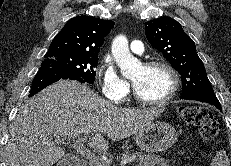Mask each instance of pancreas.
I'll list each match as a JSON object with an SVG mask.
<instances>
[{
	"instance_id": "cf45deb5",
	"label": "pancreas",
	"mask_w": 231,
	"mask_h": 166,
	"mask_svg": "<svg viewBox=\"0 0 231 166\" xmlns=\"http://www.w3.org/2000/svg\"><path fill=\"white\" fill-rule=\"evenodd\" d=\"M117 159H133L137 162L135 166H170L168 161L164 158L156 155L143 154L141 152H129L124 151L122 154L117 156ZM86 166H109L104 160L100 161L99 164L88 162Z\"/></svg>"
}]
</instances>
